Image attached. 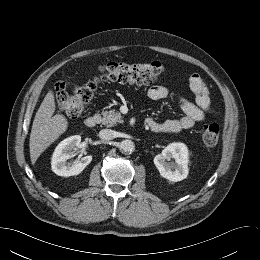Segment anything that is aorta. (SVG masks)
<instances>
[{
	"instance_id": "aorta-1",
	"label": "aorta",
	"mask_w": 260,
	"mask_h": 260,
	"mask_svg": "<svg viewBox=\"0 0 260 260\" xmlns=\"http://www.w3.org/2000/svg\"><path fill=\"white\" fill-rule=\"evenodd\" d=\"M119 149L122 151V152H126V153H130V152H133L134 149H135V145H134V142L131 141V140H123L119 143Z\"/></svg>"
}]
</instances>
